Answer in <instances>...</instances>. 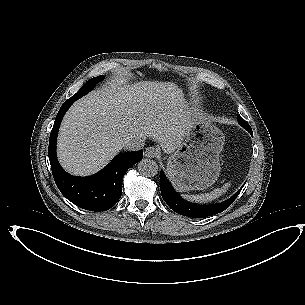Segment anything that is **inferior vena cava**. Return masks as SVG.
Listing matches in <instances>:
<instances>
[{
  "mask_svg": "<svg viewBox=\"0 0 305 305\" xmlns=\"http://www.w3.org/2000/svg\"><path fill=\"white\" fill-rule=\"evenodd\" d=\"M144 142V139L128 138L123 141L122 146L128 151H139L144 147Z\"/></svg>",
  "mask_w": 305,
  "mask_h": 305,
  "instance_id": "1",
  "label": "inferior vena cava"
}]
</instances>
